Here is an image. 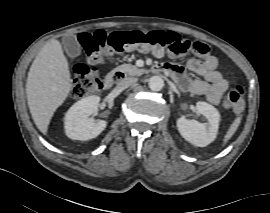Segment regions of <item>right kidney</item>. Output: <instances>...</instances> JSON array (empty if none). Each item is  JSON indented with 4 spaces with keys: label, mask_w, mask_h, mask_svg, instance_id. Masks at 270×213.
Here are the masks:
<instances>
[{
    "label": "right kidney",
    "mask_w": 270,
    "mask_h": 213,
    "mask_svg": "<svg viewBox=\"0 0 270 213\" xmlns=\"http://www.w3.org/2000/svg\"><path fill=\"white\" fill-rule=\"evenodd\" d=\"M100 97L89 96L76 102L66 112L64 118L65 134L73 140H90L96 138L107 126L104 120L95 121L88 118L98 107Z\"/></svg>",
    "instance_id": "1"
}]
</instances>
